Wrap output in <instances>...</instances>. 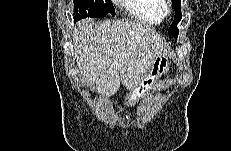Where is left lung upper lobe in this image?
Instances as JSON below:
<instances>
[{"label":"left lung upper lobe","mask_w":231,"mask_h":151,"mask_svg":"<svg viewBox=\"0 0 231 151\" xmlns=\"http://www.w3.org/2000/svg\"><path fill=\"white\" fill-rule=\"evenodd\" d=\"M172 7L175 10V19L174 22L171 24L170 28L168 29V33L173 37L177 38L179 34V30L177 28V24L182 18L181 14V0H172Z\"/></svg>","instance_id":"obj_1"}]
</instances>
